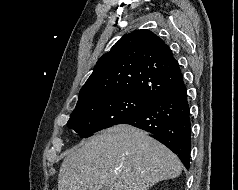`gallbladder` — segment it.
I'll return each mask as SVG.
<instances>
[{
    "mask_svg": "<svg viewBox=\"0 0 238 190\" xmlns=\"http://www.w3.org/2000/svg\"><path fill=\"white\" fill-rule=\"evenodd\" d=\"M101 190H106L105 187H102Z\"/></svg>",
    "mask_w": 238,
    "mask_h": 190,
    "instance_id": "1",
    "label": "gallbladder"
}]
</instances>
